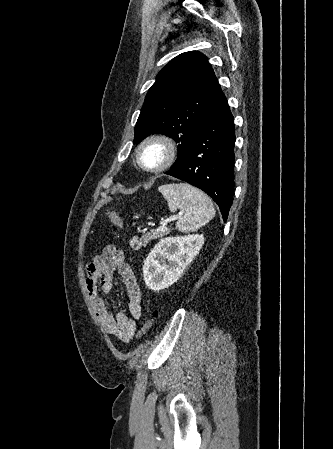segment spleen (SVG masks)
<instances>
[{
    "instance_id": "1",
    "label": "spleen",
    "mask_w": 333,
    "mask_h": 449,
    "mask_svg": "<svg viewBox=\"0 0 333 449\" xmlns=\"http://www.w3.org/2000/svg\"><path fill=\"white\" fill-rule=\"evenodd\" d=\"M159 191L167 200L171 212L177 209L183 212L176 223L180 232L196 231L215 216L211 199L198 188L186 183H173L160 186Z\"/></svg>"
}]
</instances>
